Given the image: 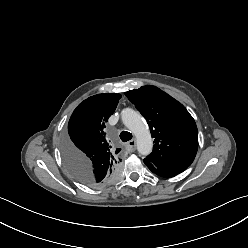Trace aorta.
<instances>
[{
	"label": "aorta",
	"mask_w": 248,
	"mask_h": 248,
	"mask_svg": "<svg viewBox=\"0 0 248 248\" xmlns=\"http://www.w3.org/2000/svg\"><path fill=\"white\" fill-rule=\"evenodd\" d=\"M122 121L124 125L136 136L137 150L147 156L152 151V138L142 116L133 109L127 108L122 112Z\"/></svg>",
	"instance_id": "aorta-1"
}]
</instances>
